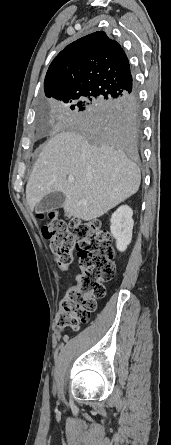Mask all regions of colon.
<instances>
[{
	"label": "colon",
	"mask_w": 171,
	"mask_h": 445,
	"mask_svg": "<svg viewBox=\"0 0 171 445\" xmlns=\"http://www.w3.org/2000/svg\"><path fill=\"white\" fill-rule=\"evenodd\" d=\"M43 216L47 222L42 227V236L49 242L59 267L69 269L73 251L78 252L80 273L75 283L63 289L57 316L60 329H78L90 319L97 300L104 298V281L114 277L110 233L98 219L68 224L54 212Z\"/></svg>",
	"instance_id": "5ec220e1"
}]
</instances>
